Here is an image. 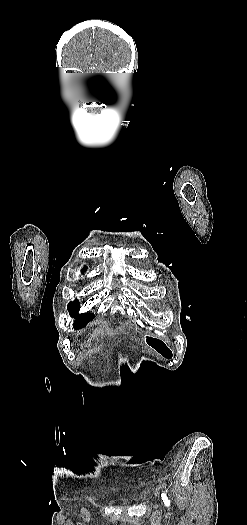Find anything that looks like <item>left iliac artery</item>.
<instances>
[{
	"instance_id": "1",
	"label": "left iliac artery",
	"mask_w": 247,
	"mask_h": 525,
	"mask_svg": "<svg viewBox=\"0 0 247 525\" xmlns=\"http://www.w3.org/2000/svg\"><path fill=\"white\" fill-rule=\"evenodd\" d=\"M161 497H162V500H163L164 504H165L167 507H169V506H170V501L168 500L166 494H165V493H162V494H161Z\"/></svg>"
}]
</instances>
